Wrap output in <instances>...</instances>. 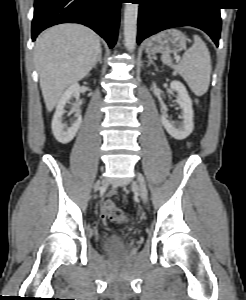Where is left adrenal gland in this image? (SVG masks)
Wrapping results in <instances>:
<instances>
[{
    "label": "left adrenal gland",
    "instance_id": "1",
    "mask_svg": "<svg viewBox=\"0 0 246 300\" xmlns=\"http://www.w3.org/2000/svg\"><path fill=\"white\" fill-rule=\"evenodd\" d=\"M148 57V66H150L151 64L156 68V65H155V63L153 62V60H152V58L148 55L147 56Z\"/></svg>",
    "mask_w": 246,
    "mask_h": 300
}]
</instances>
